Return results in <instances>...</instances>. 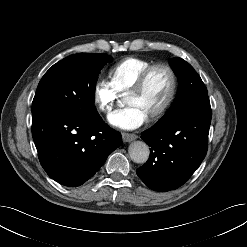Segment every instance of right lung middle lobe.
Segmentation results:
<instances>
[{"instance_id":"right-lung-middle-lobe-1","label":"right lung middle lobe","mask_w":247,"mask_h":247,"mask_svg":"<svg viewBox=\"0 0 247 247\" xmlns=\"http://www.w3.org/2000/svg\"><path fill=\"white\" fill-rule=\"evenodd\" d=\"M111 58L103 53H78L54 64L39 82L32 103V118L61 108L82 116H95L97 77Z\"/></svg>"}]
</instances>
